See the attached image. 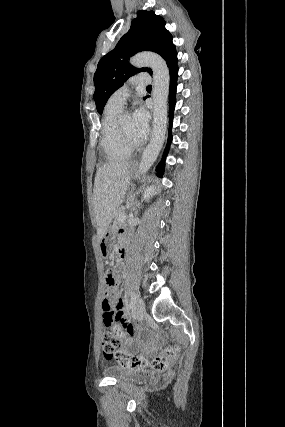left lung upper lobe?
<instances>
[{
  "label": "left lung upper lobe",
  "instance_id": "obj_1",
  "mask_svg": "<svg viewBox=\"0 0 285 427\" xmlns=\"http://www.w3.org/2000/svg\"><path fill=\"white\" fill-rule=\"evenodd\" d=\"M172 35L165 28L164 19L154 11L141 10L132 20L129 31L121 37L116 47L98 63L94 74V100L102 114L109 97L132 75L150 68L137 69L129 64V58L140 51H154L168 64L176 55Z\"/></svg>",
  "mask_w": 285,
  "mask_h": 427
}]
</instances>
